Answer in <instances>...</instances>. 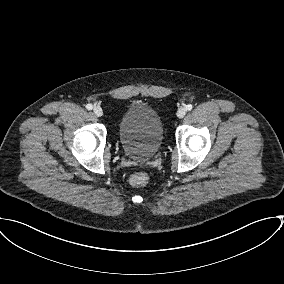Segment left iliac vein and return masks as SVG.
<instances>
[{
	"mask_svg": "<svg viewBox=\"0 0 284 284\" xmlns=\"http://www.w3.org/2000/svg\"><path fill=\"white\" fill-rule=\"evenodd\" d=\"M186 112H187L186 108L181 107V108H179L178 111H177V116H178L179 118H183V117L186 115Z\"/></svg>",
	"mask_w": 284,
	"mask_h": 284,
	"instance_id": "4c4485c4",
	"label": "left iliac vein"
}]
</instances>
